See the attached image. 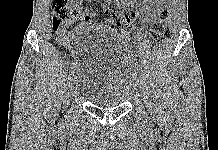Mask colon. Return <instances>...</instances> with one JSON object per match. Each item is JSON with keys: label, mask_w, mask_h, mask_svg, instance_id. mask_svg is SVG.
<instances>
[{"label": "colon", "mask_w": 218, "mask_h": 150, "mask_svg": "<svg viewBox=\"0 0 218 150\" xmlns=\"http://www.w3.org/2000/svg\"><path fill=\"white\" fill-rule=\"evenodd\" d=\"M72 0H53L52 2V25L55 31H58L62 22L71 14ZM124 16L121 12H116L106 21V26L110 33L120 41L129 38L131 31L128 29H117L123 26ZM167 27V11L162 10L150 26L148 40L150 43L160 39L166 31Z\"/></svg>", "instance_id": "obj_1"}]
</instances>
